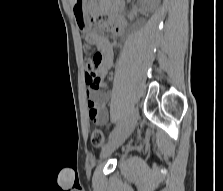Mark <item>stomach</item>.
Instances as JSON below:
<instances>
[{"label":"stomach","instance_id":"stomach-1","mask_svg":"<svg viewBox=\"0 0 223 191\" xmlns=\"http://www.w3.org/2000/svg\"><path fill=\"white\" fill-rule=\"evenodd\" d=\"M72 12L76 26L82 32H88L91 29L90 18L88 14V0H74Z\"/></svg>","mask_w":223,"mask_h":191}]
</instances>
